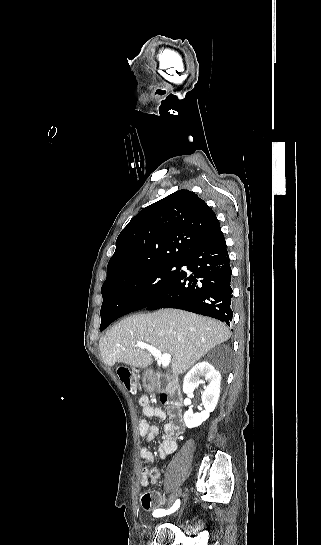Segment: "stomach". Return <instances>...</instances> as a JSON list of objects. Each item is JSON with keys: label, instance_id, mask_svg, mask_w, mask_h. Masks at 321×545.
<instances>
[{"label": "stomach", "instance_id": "1", "mask_svg": "<svg viewBox=\"0 0 321 545\" xmlns=\"http://www.w3.org/2000/svg\"><path fill=\"white\" fill-rule=\"evenodd\" d=\"M148 373H149V371H144V373H143V383H144V387H147L146 383H147Z\"/></svg>", "mask_w": 321, "mask_h": 545}]
</instances>
